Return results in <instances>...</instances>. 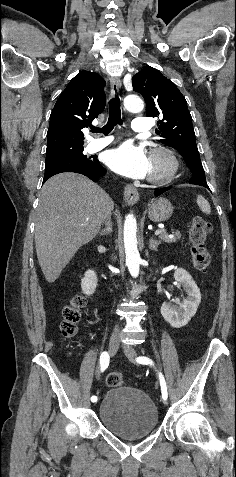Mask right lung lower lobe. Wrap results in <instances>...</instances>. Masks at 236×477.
Instances as JSON below:
<instances>
[{"label":"right lung lower lobe","instance_id":"98d812e1","mask_svg":"<svg viewBox=\"0 0 236 477\" xmlns=\"http://www.w3.org/2000/svg\"><path fill=\"white\" fill-rule=\"evenodd\" d=\"M62 172H74V173H79L82 175L87 176L94 182H97L101 177H103L106 174V169L97 161L93 166L91 167H74L66 170H58V171H50L45 173L43 183L52 177L53 175H56L58 173Z\"/></svg>","mask_w":236,"mask_h":477}]
</instances>
